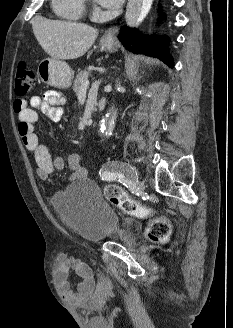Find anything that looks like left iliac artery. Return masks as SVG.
I'll return each instance as SVG.
<instances>
[{
  "label": "left iliac artery",
  "mask_w": 233,
  "mask_h": 328,
  "mask_svg": "<svg viewBox=\"0 0 233 328\" xmlns=\"http://www.w3.org/2000/svg\"><path fill=\"white\" fill-rule=\"evenodd\" d=\"M102 180L112 181L118 180L120 183L125 185L126 187L132 188L133 186L128 182L125 176L122 173L118 172H110V171H103L101 173Z\"/></svg>",
  "instance_id": "44dca946"
}]
</instances>
